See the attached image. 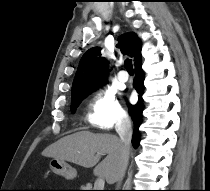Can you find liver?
I'll list each match as a JSON object with an SVG mask.
<instances>
[{"mask_svg": "<svg viewBox=\"0 0 210 191\" xmlns=\"http://www.w3.org/2000/svg\"><path fill=\"white\" fill-rule=\"evenodd\" d=\"M105 154L106 158L99 163L101 156ZM42 155L85 168L95 166L94 174L113 184L119 170L121 140L111 134H95L84 130L61 138L48 146Z\"/></svg>", "mask_w": 210, "mask_h": 191, "instance_id": "6515ba94", "label": "liver"}]
</instances>
